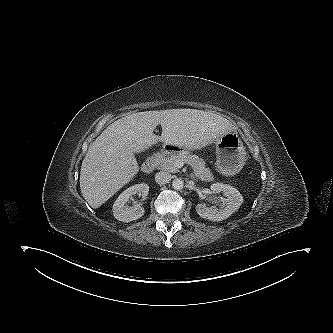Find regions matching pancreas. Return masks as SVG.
<instances>
[{
	"label": "pancreas",
	"instance_id": "pancreas-1",
	"mask_svg": "<svg viewBox=\"0 0 333 333\" xmlns=\"http://www.w3.org/2000/svg\"><path fill=\"white\" fill-rule=\"evenodd\" d=\"M177 160H181L184 163L191 165L195 176L201 181H213L214 177L209 168H206L205 162L196 155L179 154L172 155L163 159L161 168L167 171L174 172L178 168L175 165Z\"/></svg>",
	"mask_w": 333,
	"mask_h": 333
}]
</instances>
